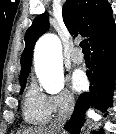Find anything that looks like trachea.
<instances>
[{
	"label": "trachea",
	"instance_id": "1",
	"mask_svg": "<svg viewBox=\"0 0 116 134\" xmlns=\"http://www.w3.org/2000/svg\"><path fill=\"white\" fill-rule=\"evenodd\" d=\"M80 47L82 48L84 55H89L90 54V47H89V43H88L87 39H84L80 43Z\"/></svg>",
	"mask_w": 116,
	"mask_h": 134
}]
</instances>
